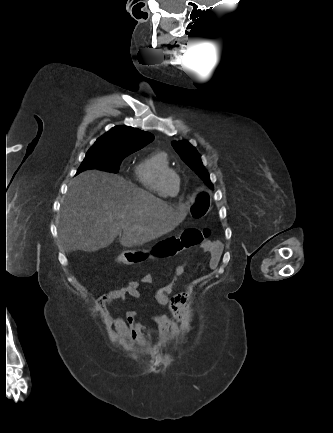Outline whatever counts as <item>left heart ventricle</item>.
Instances as JSON below:
<instances>
[{"label": "left heart ventricle", "mask_w": 333, "mask_h": 433, "mask_svg": "<svg viewBox=\"0 0 333 433\" xmlns=\"http://www.w3.org/2000/svg\"><path fill=\"white\" fill-rule=\"evenodd\" d=\"M166 187L170 193H175L177 188V180L175 176H169L166 180Z\"/></svg>", "instance_id": "b2bd125f"}]
</instances>
